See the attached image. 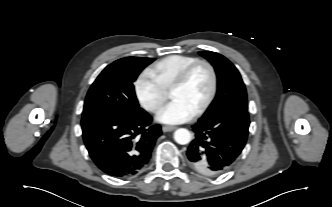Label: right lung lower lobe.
I'll list each match as a JSON object with an SVG mask.
<instances>
[{
    "label": "right lung lower lobe",
    "instance_id": "1",
    "mask_svg": "<svg viewBox=\"0 0 332 207\" xmlns=\"http://www.w3.org/2000/svg\"><path fill=\"white\" fill-rule=\"evenodd\" d=\"M143 109L132 114L97 113L82 118L83 139L90 157L106 174L118 178L140 172L149 162L160 125Z\"/></svg>",
    "mask_w": 332,
    "mask_h": 207
}]
</instances>
